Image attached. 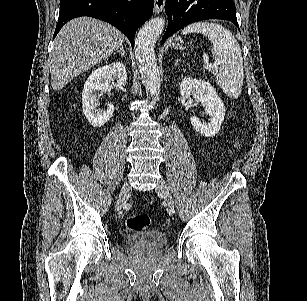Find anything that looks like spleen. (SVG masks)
I'll list each match as a JSON object with an SVG mask.
<instances>
[{"instance_id": "1", "label": "spleen", "mask_w": 307, "mask_h": 301, "mask_svg": "<svg viewBox=\"0 0 307 301\" xmlns=\"http://www.w3.org/2000/svg\"><path fill=\"white\" fill-rule=\"evenodd\" d=\"M188 32H201L213 42L212 56L215 62L220 64L216 72V82L227 96L239 98L244 80V66L241 48L232 32L216 22H192L182 30V34Z\"/></svg>"}]
</instances>
